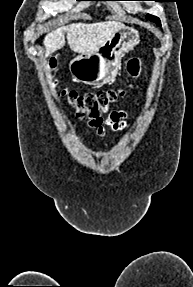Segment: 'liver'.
<instances>
[{"instance_id": "obj_1", "label": "liver", "mask_w": 193, "mask_h": 287, "mask_svg": "<svg viewBox=\"0 0 193 287\" xmlns=\"http://www.w3.org/2000/svg\"><path fill=\"white\" fill-rule=\"evenodd\" d=\"M124 25L117 21L97 23H73L49 32L44 38L45 56L61 49L65 45L64 33L70 49L79 54H89L96 51Z\"/></svg>"}]
</instances>
